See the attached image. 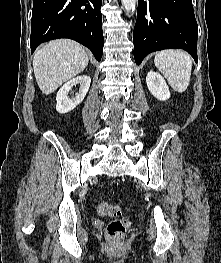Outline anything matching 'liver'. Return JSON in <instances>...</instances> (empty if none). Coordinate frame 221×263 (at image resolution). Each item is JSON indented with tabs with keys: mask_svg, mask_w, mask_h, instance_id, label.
<instances>
[{
	"mask_svg": "<svg viewBox=\"0 0 221 263\" xmlns=\"http://www.w3.org/2000/svg\"><path fill=\"white\" fill-rule=\"evenodd\" d=\"M88 55L77 42L53 40L39 49L33 59L34 74L43 94H51L88 65Z\"/></svg>",
	"mask_w": 221,
	"mask_h": 263,
	"instance_id": "obj_1",
	"label": "liver"
}]
</instances>
